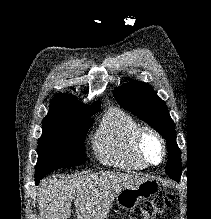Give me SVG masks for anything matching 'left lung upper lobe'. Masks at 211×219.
<instances>
[{
  "label": "left lung upper lobe",
  "instance_id": "left-lung-upper-lobe-1",
  "mask_svg": "<svg viewBox=\"0 0 211 219\" xmlns=\"http://www.w3.org/2000/svg\"><path fill=\"white\" fill-rule=\"evenodd\" d=\"M117 102L141 120L156 129L165 139L168 151L180 153L176 143V132L173 120L165 102L159 98L147 83L130 81L114 90ZM166 173L178 181L181 176V162L166 165Z\"/></svg>",
  "mask_w": 211,
  "mask_h": 219
}]
</instances>
